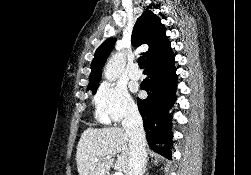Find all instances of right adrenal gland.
<instances>
[{
	"instance_id": "obj_1",
	"label": "right adrenal gland",
	"mask_w": 251,
	"mask_h": 175,
	"mask_svg": "<svg viewBox=\"0 0 251 175\" xmlns=\"http://www.w3.org/2000/svg\"><path fill=\"white\" fill-rule=\"evenodd\" d=\"M143 173H145V169H143Z\"/></svg>"
}]
</instances>
